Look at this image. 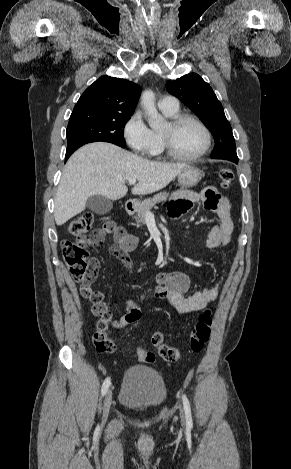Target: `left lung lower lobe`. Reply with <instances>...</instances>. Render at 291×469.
I'll use <instances>...</instances> for the list:
<instances>
[{"label":"left lung lower lobe","mask_w":291,"mask_h":469,"mask_svg":"<svg viewBox=\"0 0 291 469\" xmlns=\"http://www.w3.org/2000/svg\"><path fill=\"white\" fill-rule=\"evenodd\" d=\"M216 159H217V158H216ZM218 159H226V160H230V161H232V162H234V163H236V164L238 163V159H235V158L222 157V158H218Z\"/></svg>","instance_id":"0a47b994"}]
</instances>
